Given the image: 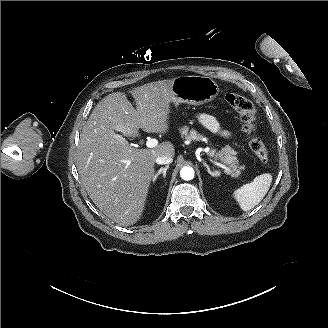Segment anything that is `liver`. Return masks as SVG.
Segmentation results:
<instances>
[{
	"instance_id": "1",
	"label": "liver",
	"mask_w": 328,
	"mask_h": 328,
	"mask_svg": "<svg viewBox=\"0 0 328 328\" xmlns=\"http://www.w3.org/2000/svg\"><path fill=\"white\" fill-rule=\"evenodd\" d=\"M174 80H161L125 92L111 93L92 111L80 135L78 171L89 197L99 210L122 227L143 217L156 158L175 157L171 141L152 149H134L124 136L167 134L171 127Z\"/></svg>"
}]
</instances>
